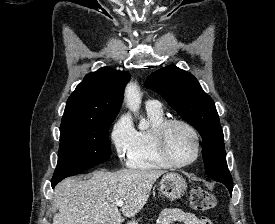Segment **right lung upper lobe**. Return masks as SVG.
<instances>
[{"label":"right lung upper lobe","instance_id":"right-lung-upper-lobe-1","mask_svg":"<svg viewBox=\"0 0 275 224\" xmlns=\"http://www.w3.org/2000/svg\"><path fill=\"white\" fill-rule=\"evenodd\" d=\"M129 80L128 72L108 67L87 74L68 98L62 123L115 118Z\"/></svg>","mask_w":275,"mask_h":224}]
</instances>
